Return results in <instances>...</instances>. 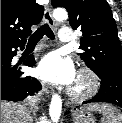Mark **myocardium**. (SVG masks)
<instances>
[{
    "instance_id": "1",
    "label": "myocardium",
    "mask_w": 122,
    "mask_h": 123,
    "mask_svg": "<svg viewBox=\"0 0 122 123\" xmlns=\"http://www.w3.org/2000/svg\"><path fill=\"white\" fill-rule=\"evenodd\" d=\"M77 78L84 80V85L81 88L71 87L68 95L74 101H84L92 97L100 87V78L89 67H82L77 73Z\"/></svg>"
}]
</instances>
